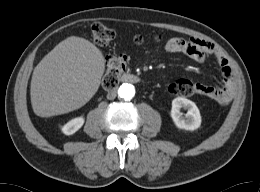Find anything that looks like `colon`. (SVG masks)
I'll list each match as a JSON object with an SVG mask.
<instances>
[{"instance_id": "1", "label": "colon", "mask_w": 260, "mask_h": 192, "mask_svg": "<svg viewBox=\"0 0 260 192\" xmlns=\"http://www.w3.org/2000/svg\"><path fill=\"white\" fill-rule=\"evenodd\" d=\"M91 34L93 41L99 46H107L114 39V31L103 23H95L91 28ZM135 43L141 44L143 38L136 36L134 39ZM156 42L161 41V36L155 37ZM127 63V57L125 55L114 56L108 60L107 72L103 79V87L107 90L114 88L118 84V76L121 70ZM169 91L176 96H190L195 93V83L187 79H179L173 82Z\"/></svg>"}]
</instances>
